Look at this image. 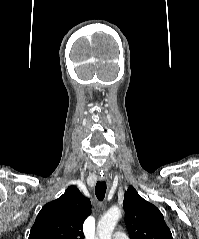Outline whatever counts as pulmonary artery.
<instances>
[{
  "instance_id": "pulmonary-artery-1",
  "label": "pulmonary artery",
  "mask_w": 199,
  "mask_h": 239,
  "mask_svg": "<svg viewBox=\"0 0 199 239\" xmlns=\"http://www.w3.org/2000/svg\"><path fill=\"white\" fill-rule=\"evenodd\" d=\"M113 239H128V236L125 233L118 231L113 235Z\"/></svg>"
}]
</instances>
